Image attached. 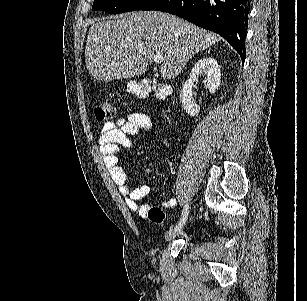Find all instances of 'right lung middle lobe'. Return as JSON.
<instances>
[{"label":"right lung middle lobe","mask_w":307,"mask_h":301,"mask_svg":"<svg viewBox=\"0 0 307 301\" xmlns=\"http://www.w3.org/2000/svg\"><path fill=\"white\" fill-rule=\"evenodd\" d=\"M153 0H94L92 10H102L119 14L129 11L142 10Z\"/></svg>","instance_id":"dd1d6c3e"}]
</instances>
